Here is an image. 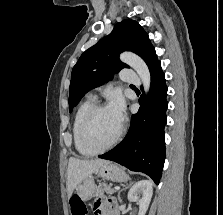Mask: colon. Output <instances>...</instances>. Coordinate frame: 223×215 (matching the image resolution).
<instances>
[{
  "label": "colon",
  "mask_w": 223,
  "mask_h": 215,
  "mask_svg": "<svg viewBox=\"0 0 223 215\" xmlns=\"http://www.w3.org/2000/svg\"><path fill=\"white\" fill-rule=\"evenodd\" d=\"M72 215H86V206L78 196H73L70 201Z\"/></svg>",
  "instance_id": "obj_1"
}]
</instances>
